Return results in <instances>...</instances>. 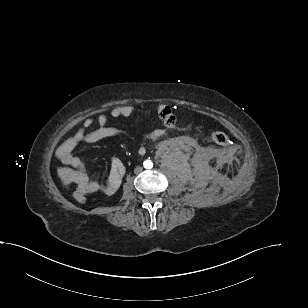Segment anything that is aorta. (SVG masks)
<instances>
[{
  "mask_svg": "<svg viewBox=\"0 0 308 308\" xmlns=\"http://www.w3.org/2000/svg\"><path fill=\"white\" fill-rule=\"evenodd\" d=\"M143 165L146 169H151L153 167V163L151 160L144 161Z\"/></svg>",
  "mask_w": 308,
  "mask_h": 308,
  "instance_id": "aorta-1",
  "label": "aorta"
}]
</instances>
